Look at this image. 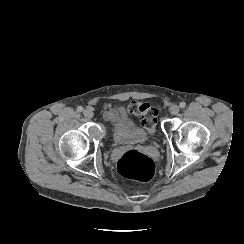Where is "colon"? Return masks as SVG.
<instances>
[{"label": "colon", "mask_w": 244, "mask_h": 244, "mask_svg": "<svg viewBox=\"0 0 244 244\" xmlns=\"http://www.w3.org/2000/svg\"><path fill=\"white\" fill-rule=\"evenodd\" d=\"M128 112L141 117L142 127L149 136L152 137L156 134L158 115L154 109H149L148 105L141 101L131 103ZM118 170L125 178L148 182L154 176L155 164L147 155L136 151H128L119 159Z\"/></svg>", "instance_id": "5ec220e1"}]
</instances>
